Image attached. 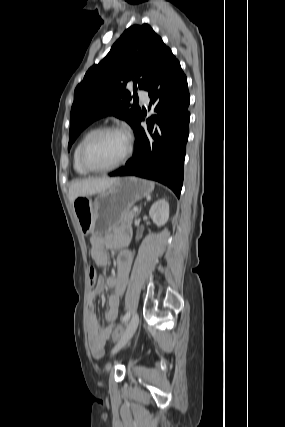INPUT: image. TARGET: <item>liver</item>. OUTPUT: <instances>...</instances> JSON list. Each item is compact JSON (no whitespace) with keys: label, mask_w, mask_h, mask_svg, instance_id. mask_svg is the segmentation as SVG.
<instances>
[{"label":"liver","mask_w":285,"mask_h":427,"mask_svg":"<svg viewBox=\"0 0 285 427\" xmlns=\"http://www.w3.org/2000/svg\"><path fill=\"white\" fill-rule=\"evenodd\" d=\"M118 178H88L77 180L69 187V201L73 203L80 196H90L101 193L110 188Z\"/></svg>","instance_id":"obj_1"}]
</instances>
